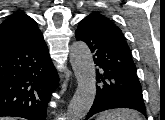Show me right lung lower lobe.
<instances>
[{
	"mask_svg": "<svg viewBox=\"0 0 165 120\" xmlns=\"http://www.w3.org/2000/svg\"><path fill=\"white\" fill-rule=\"evenodd\" d=\"M58 74L43 34L0 50V116L46 120Z\"/></svg>",
	"mask_w": 165,
	"mask_h": 120,
	"instance_id": "1",
	"label": "right lung lower lobe"
}]
</instances>
